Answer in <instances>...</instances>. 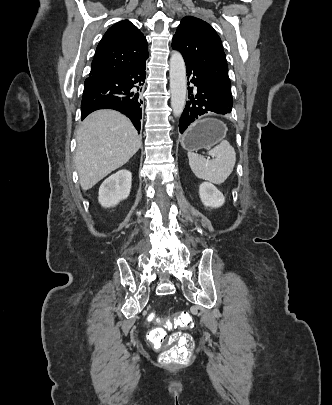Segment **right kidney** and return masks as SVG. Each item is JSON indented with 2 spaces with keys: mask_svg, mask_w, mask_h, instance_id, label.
Wrapping results in <instances>:
<instances>
[{
  "mask_svg": "<svg viewBox=\"0 0 332 405\" xmlns=\"http://www.w3.org/2000/svg\"><path fill=\"white\" fill-rule=\"evenodd\" d=\"M132 174L128 170H120L108 177L99 188L98 201L102 207L116 206L128 198L131 191Z\"/></svg>",
  "mask_w": 332,
  "mask_h": 405,
  "instance_id": "1",
  "label": "right kidney"
}]
</instances>
